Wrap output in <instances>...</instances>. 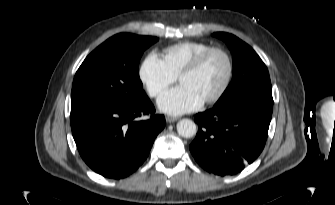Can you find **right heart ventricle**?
<instances>
[{
  "instance_id": "1",
  "label": "right heart ventricle",
  "mask_w": 335,
  "mask_h": 205,
  "mask_svg": "<svg viewBox=\"0 0 335 205\" xmlns=\"http://www.w3.org/2000/svg\"><path fill=\"white\" fill-rule=\"evenodd\" d=\"M211 46L204 42L183 41L166 47L162 52V60L168 69L178 76L199 54Z\"/></svg>"
}]
</instances>
